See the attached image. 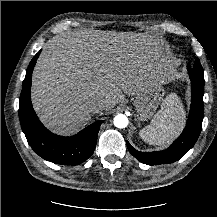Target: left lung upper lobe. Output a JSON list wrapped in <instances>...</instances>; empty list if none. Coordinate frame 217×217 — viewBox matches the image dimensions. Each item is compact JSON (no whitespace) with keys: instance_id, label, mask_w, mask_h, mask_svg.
Wrapping results in <instances>:
<instances>
[{"instance_id":"obj_1","label":"left lung upper lobe","mask_w":217,"mask_h":217,"mask_svg":"<svg viewBox=\"0 0 217 217\" xmlns=\"http://www.w3.org/2000/svg\"><path fill=\"white\" fill-rule=\"evenodd\" d=\"M192 71L195 73V75L200 78V79H203L204 80V71H203V68L200 64V61L199 59H196L195 63H194V66L193 68H191Z\"/></svg>"}]
</instances>
